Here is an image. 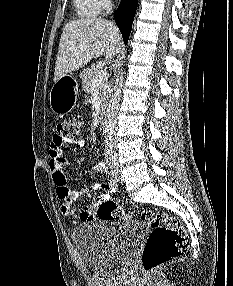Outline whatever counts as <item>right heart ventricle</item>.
<instances>
[{"instance_id":"1","label":"right heart ventricle","mask_w":233,"mask_h":286,"mask_svg":"<svg viewBox=\"0 0 233 286\" xmlns=\"http://www.w3.org/2000/svg\"><path fill=\"white\" fill-rule=\"evenodd\" d=\"M77 14L82 18H95L104 9L101 0H74Z\"/></svg>"}]
</instances>
